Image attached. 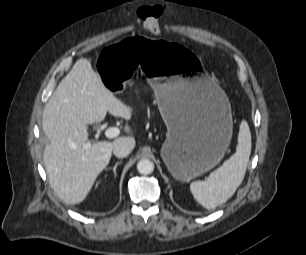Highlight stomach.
Listing matches in <instances>:
<instances>
[{"label": "stomach", "instance_id": "obj_1", "mask_svg": "<svg viewBox=\"0 0 306 255\" xmlns=\"http://www.w3.org/2000/svg\"><path fill=\"white\" fill-rule=\"evenodd\" d=\"M96 64L113 94L125 89L133 72L148 75L168 129L161 157L176 180L189 182L219 163L232 135L230 103L189 50L161 44L145 33H129L106 47Z\"/></svg>", "mask_w": 306, "mask_h": 255}]
</instances>
